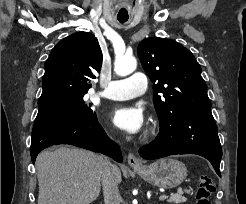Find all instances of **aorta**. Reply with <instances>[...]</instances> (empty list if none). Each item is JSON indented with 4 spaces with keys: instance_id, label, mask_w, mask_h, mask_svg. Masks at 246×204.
<instances>
[{
    "instance_id": "obj_1",
    "label": "aorta",
    "mask_w": 246,
    "mask_h": 204,
    "mask_svg": "<svg viewBox=\"0 0 246 204\" xmlns=\"http://www.w3.org/2000/svg\"><path fill=\"white\" fill-rule=\"evenodd\" d=\"M137 66V61L133 56H122L115 60L114 70L119 76H126L132 73Z\"/></svg>"
}]
</instances>
